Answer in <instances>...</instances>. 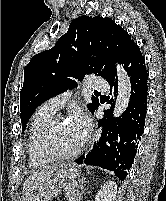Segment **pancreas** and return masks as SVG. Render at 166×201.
Wrapping results in <instances>:
<instances>
[{
  "mask_svg": "<svg viewBox=\"0 0 166 201\" xmlns=\"http://www.w3.org/2000/svg\"><path fill=\"white\" fill-rule=\"evenodd\" d=\"M78 193L74 188H71L70 191L66 194V201H77Z\"/></svg>",
  "mask_w": 166,
  "mask_h": 201,
  "instance_id": "1",
  "label": "pancreas"
}]
</instances>
